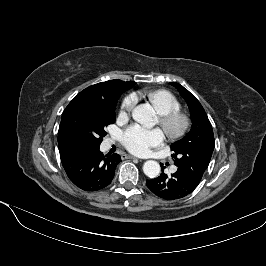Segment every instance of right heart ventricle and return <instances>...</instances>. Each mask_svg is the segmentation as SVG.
<instances>
[{
    "instance_id": "e07e8e85",
    "label": "right heart ventricle",
    "mask_w": 266,
    "mask_h": 266,
    "mask_svg": "<svg viewBox=\"0 0 266 266\" xmlns=\"http://www.w3.org/2000/svg\"><path fill=\"white\" fill-rule=\"evenodd\" d=\"M147 97L161 115L179 111L181 108V104L178 99L166 90L148 92Z\"/></svg>"
}]
</instances>
